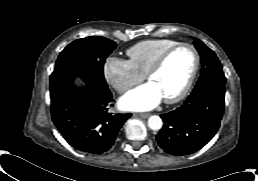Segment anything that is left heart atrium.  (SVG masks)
Listing matches in <instances>:
<instances>
[{"mask_svg": "<svg viewBox=\"0 0 258 181\" xmlns=\"http://www.w3.org/2000/svg\"><path fill=\"white\" fill-rule=\"evenodd\" d=\"M162 98L158 88L152 82H148L125 94L119 105L128 111H147L156 107Z\"/></svg>", "mask_w": 258, "mask_h": 181, "instance_id": "left-heart-atrium-1", "label": "left heart atrium"}]
</instances>
